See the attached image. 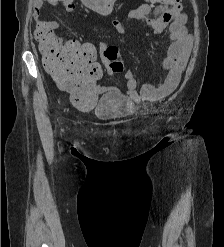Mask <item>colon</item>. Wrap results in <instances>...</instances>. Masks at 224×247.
Here are the masks:
<instances>
[{
	"mask_svg": "<svg viewBox=\"0 0 224 247\" xmlns=\"http://www.w3.org/2000/svg\"><path fill=\"white\" fill-rule=\"evenodd\" d=\"M147 1L165 7L174 2L172 0ZM63 2L67 9L72 8V0ZM35 34L46 51L47 56L44 61L46 70L70 92L72 103L79 108L93 107L98 97L91 83L101 76V68L95 61V48L90 44L76 42H69L60 47L59 40L45 26L37 27ZM103 56L113 73L119 74L123 71V62L116 47L108 46Z\"/></svg>",
	"mask_w": 224,
	"mask_h": 247,
	"instance_id": "5ec220e1",
	"label": "colon"
}]
</instances>
